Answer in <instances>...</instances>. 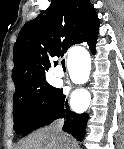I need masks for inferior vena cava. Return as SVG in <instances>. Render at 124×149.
I'll list each match as a JSON object with an SVG mask.
<instances>
[{"label":"inferior vena cava","instance_id":"1","mask_svg":"<svg viewBox=\"0 0 124 149\" xmlns=\"http://www.w3.org/2000/svg\"><path fill=\"white\" fill-rule=\"evenodd\" d=\"M63 124H64V120L60 119L52 126V128L61 139L63 140L65 139V142H63V145L65 146H62V149H71L70 139H67V136H63V133H62Z\"/></svg>","mask_w":124,"mask_h":149}]
</instances>
